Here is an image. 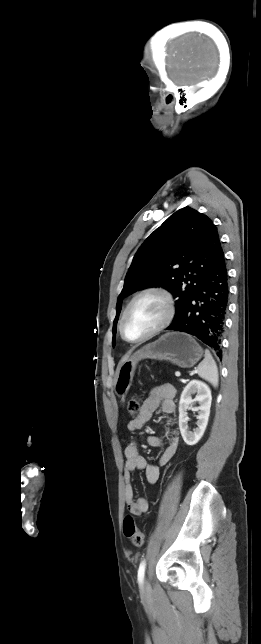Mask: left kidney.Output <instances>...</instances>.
Masks as SVG:
<instances>
[{"label": "left kidney", "mask_w": 261, "mask_h": 644, "mask_svg": "<svg viewBox=\"0 0 261 644\" xmlns=\"http://www.w3.org/2000/svg\"><path fill=\"white\" fill-rule=\"evenodd\" d=\"M195 393H197V396L192 399L191 395ZM211 401V390L202 381L192 380L183 389L179 402V429L187 445H195L203 436L208 424ZM193 402H198L199 406L196 407L198 411L197 428L192 432L188 430L186 410Z\"/></svg>", "instance_id": "obj_1"}]
</instances>
